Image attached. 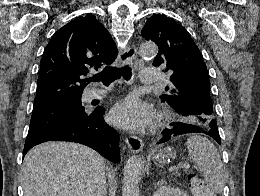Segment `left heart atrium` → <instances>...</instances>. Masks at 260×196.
Returning a JSON list of instances; mask_svg holds the SVG:
<instances>
[{"mask_svg": "<svg viewBox=\"0 0 260 196\" xmlns=\"http://www.w3.org/2000/svg\"><path fill=\"white\" fill-rule=\"evenodd\" d=\"M110 118L115 125L122 128L141 130L152 122L153 111L147 104L134 97H128L113 107Z\"/></svg>", "mask_w": 260, "mask_h": 196, "instance_id": "left-heart-atrium-1", "label": "left heart atrium"}]
</instances>
